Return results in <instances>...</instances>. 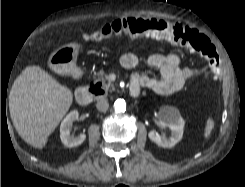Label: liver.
Here are the masks:
<instances>
[{
	"instance_id": "liver-1",
	"label": "liver",
	"mask_w": 245,
	"mask_h": 187,
	"mask_svg": "<svg viewBox=\"0 0 245 187\" xmlns=\"http://www.w3.org/2000/svg\"><path fill=\"white\" fill-rule=\"evenodd\" d=\"M73 102L70 89L39 66H28L16 78L9 94V110L19 136L42 149Z\"/></svg>"
}]
</instances>
